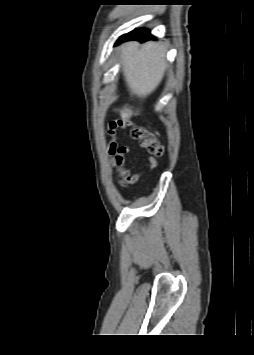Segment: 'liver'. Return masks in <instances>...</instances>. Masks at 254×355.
I'll use <instances>...</instances> for the list:
<instances>
[{
  "label": "liver",
  "mask_w": 254,
  "mask_h": 355,
  "mask_svg": "<svg viewBox=\"0 0 254 355\" xmlns=\"http://www.w3.org/2000/svg\"><path fill=\"white\" fill-rule=\"evenodd\" d=\"M123 75L131 95L144 99L161 83L166 70L165 48L160 43L149 42L140 47L137 42L122 45ZM133 112L124 106L122 117H130Z\"/></svg>",
  "instance_id": "obj_1"
}]
</instances>
